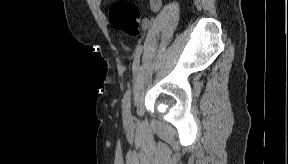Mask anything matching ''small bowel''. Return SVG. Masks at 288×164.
Masks as SVG:
<instances>
[{
	"label": "small bowel",
	"instance_id": "1",
	"mask_svg": "<svg viewBox=\"0 0 288 164\" xmlns=\"http://www.w3.org/2000/svg\"><path fill=\"white\" fill-rule=\"evenodd\" d=\"M151 9L154 13L158 12L161 8V1L160 0H152L150 3Z\"/></svg>",
	"mask_w": 288,
	"mask_h": 164
}]
</instances>
